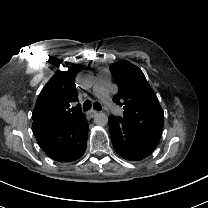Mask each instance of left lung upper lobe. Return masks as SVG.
I'll return each mask as SVG.
<instances>
[{"mask_svg": "<svg viewBox=\"0 0 208 208\" xmlns=\"http://www.w3.org/2000/svg\"><path fill=\"white\" fill-rule=\"evenodd\" d=\"M110 70L118 83V93L113 101L123 107L122 119L158 145L164 113L143 72L127 61L111 64Z\"/></svg>", "mask_w": 208, "mask_h": 208, "instance_id": "5c2ea615", "label": "left lung upper lobe"}]
</instances>
